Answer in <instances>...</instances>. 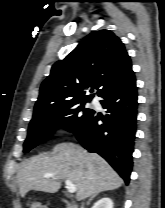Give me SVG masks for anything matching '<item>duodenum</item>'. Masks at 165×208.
<instances>
[{
	"label": "duodenum",
	"mask_w": 165,
	"mask_h": 208,
	"mask_svg": "<svg viewBox=\"0 0 165 208\" xmlns=\"http://www.w3.org/2000/svg\"><path fill=\"white\" fill-rule=\"evenodd\" d=\"M64 205L66 208H78L77 206H75L74 204H72L70 201H68L67 199H62Z\"/></svg>",
	"instance_id": "obj_1"
}]
</instances>
